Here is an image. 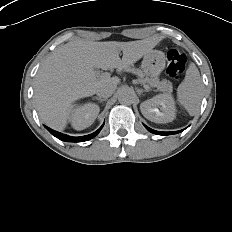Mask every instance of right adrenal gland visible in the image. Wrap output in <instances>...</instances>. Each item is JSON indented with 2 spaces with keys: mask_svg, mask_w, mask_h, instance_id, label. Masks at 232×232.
Returning a JSON list of instances; mask_svg holds the SVG:
<instances>
[{
  "mask_svg": "<svg viewBox=\"0 0 232 232\" xmlns=\"http://www.w3.org/2000/svg\"><path fill=\"white\" fill-rule=\"evenodd\" d=\"M94 99L98 100L100 103H102L103 101H106V98L105 99H101L99 97H94Z\"/></svg>",
  "mask_w": 232,
  "mask_h": 232,
  "instance_id": "2a0ac1e0",
  "label": "right adrenal gland"
}]
</instances>
